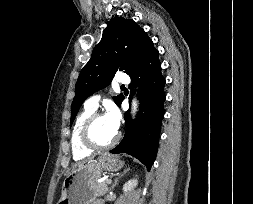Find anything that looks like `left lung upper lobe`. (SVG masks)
<instances>
[{"instance_id":"1","label":"left lung upper lobe","mask_w":253,"mask_h":204,"mask_svg":"<svg viewBox=\"0 0 253 204\" xmlns=\"http://www.w3.org/2000/svg\"><path fill=\"white\" fill-rule=\"evenodd\" d=\"M151 47L152 40L132 19H111L103 31L101 41L95 46L90 60L78 77L70 125L84 100L106 87L117 71H123L130 77L136 74ZM123 99L122 94L114 97L118 106Z\"/></svg>"}]
</instances>
